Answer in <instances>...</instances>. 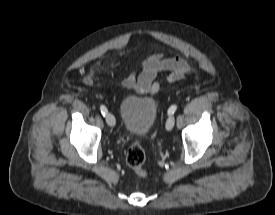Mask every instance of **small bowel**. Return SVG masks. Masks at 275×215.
<instances>
[{
  "instance_id": "obj_1",
  "label": "small bowel",
  "mask_w": 275,
  "mask_h": 215,
  "mask_svg": "<svg viewBox=\"0 0 275 215\" xmlns=\"http://www.w3.org/2000/svg\"><path fill=\"white\" fill-rule=\"evenodd\" d=\"M141 73L137 76L130 73L122 81V86L139 94H156L164 83H175L183 79L189 71V66L180 57H168L163 52H154L142 60ZM162 71L170 73L162 80H156Z\"/></svg>"
}]
</instances>
